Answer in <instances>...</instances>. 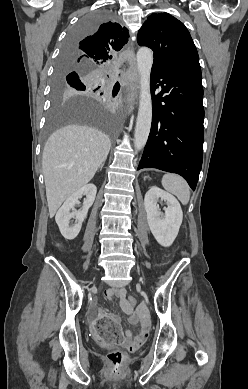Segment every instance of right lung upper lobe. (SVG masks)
Wrapping results in <instances>:
<instances>
[{
	"label": "right lung upper lobe",
	"mask_w": 248,
	"mask_h": 389,
	"mask_svg": "<svg viewBox=\"0 0 248 389\" xmlns=\"http://www.w3.org/2000/svg\"><path fill=\"white\" fill-rule=\"evenodd\" d=\"M128 37V30L120 24L111 21L102 23L92 34L62 51V66L73 64L91 70L105 66L112 59V54L127 43Z\"/></svg>",
	"instance_id": "right-lung-upper-lobe-1"
}]
</instances>
